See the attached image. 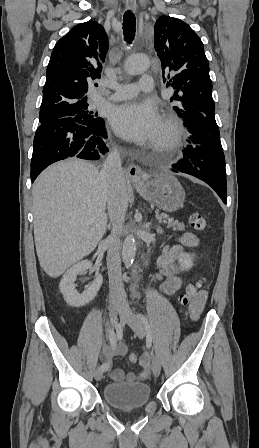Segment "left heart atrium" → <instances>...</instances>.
Wrapping results in <instances>:
<instances>
[{"mask_svg": "<svg viewBox=\"0 0 259 448\" xmlns=\"http://www.w3.org/2000/svg\"><path fill=\"white\" fill-rule=\"evenodd\" d=\"M110 122L119 136L136 143L155 138L162 126L158 108L148 101H131L115 107Z\"/></svg>", "mask_w": 259, "mask_h": 448, "instance_id": "39dd6f15", "label": "left heart atrium"}]
</instances>
